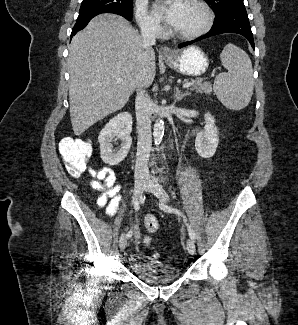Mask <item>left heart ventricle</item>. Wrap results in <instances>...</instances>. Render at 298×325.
Masks as SVG:
<instances>
[{"label": "left heart ventricle", "instance_id": "obj_1", "mask_svg": "<svg viewBox=\"0 0 298 325\" xmlns=\"http://www.w3.org/2000/svg\"><path fill=\"white\" fill-rule=\"evenodd\" d=\"M202 23L198 9L189 1L180 2V11L176 21L170 28L176 33H187L196 30Z\"/></svg>", "mask_w": 298, "mask_h": 325}]
</instances>
